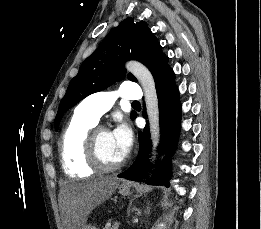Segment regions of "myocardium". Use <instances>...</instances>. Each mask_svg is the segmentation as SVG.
<instances>
[{
  "label": "myocardium",
  "mask_w": 261,
  "mask_h": 229,
  "mask_svg": "<svg viewBox=\"0 0 261 229\" xmlns=\"http://www.w3.org/2000/svg\"><path fill=\"white\" fill-rule=\"evenodd\" d=\"M102 132H109L107 129L99 128L93 131L88 144V159L94 168L101 172H112L124 165V160L116 163H108L100 153L99 139Z\"/></svg>",
  "instance_id": "obj_1"
}]
</instances>
